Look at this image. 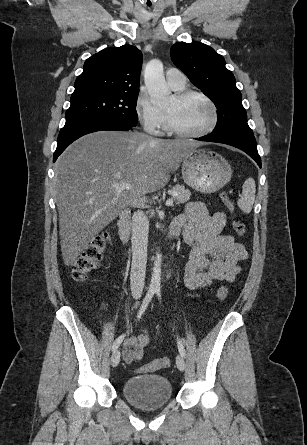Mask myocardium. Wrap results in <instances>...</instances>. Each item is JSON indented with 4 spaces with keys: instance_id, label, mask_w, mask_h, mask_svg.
Segmentation results:
<instances>
[{
    "instance_id": "myocardium-1",
    "label": "myocardium",
    "mask_w": 307,
    "mask_h": 445,
    "mask_svg": "<svg viewBox=\"0 0 307 445\" xmlns=\"http://www.w3.org/2000/svg\"><path fill=\"white\" fill-rule=\"evenodd\" d=\"M174 96L176 98H178L179 100H187V99L193 98V97L201 99L203 102H205L211 108L212 121H211V124L207 128H205L199 132L190 133V132L182 131L179 128H177L176 126H174V124L171 122L169 116L166 113H164L166 129L171 134L177 136V137H168L166 139H202L217 129V127L220 124L221 114H220V110H219L217 104L210 97H208L206 94H204L202 92L195 91V90H181V91L175 93Z\"/></svg>"
}]
</instances>
